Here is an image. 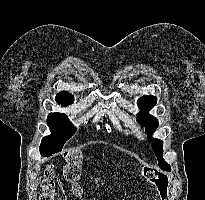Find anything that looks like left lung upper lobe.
<instances>
[{
	"instance_id": "5c2ea615",
	"label": "left lung upper lobe",
	"mask_w": 205,
	"mask_h": 200,
	"mask_svg": "<svg viewBox=\"0 0 205 200\" xmlns=\"http://www.w3.org/2000/svg\"><path fill=\"white\" fill-rule=\"evenodd\" d=\"M156 102L157 98L154 96H143L137 101L138 107L140 108L137 119L142 126L146 127V132L148 134L153 133L159 124L157 118L148 113L156 105ZM149 140L152 141V147L158 159L159 167L163 170L170 171V165L165 162L162 156L163 141L152 137H149Z\"/></svg>"
}]
</instances>
